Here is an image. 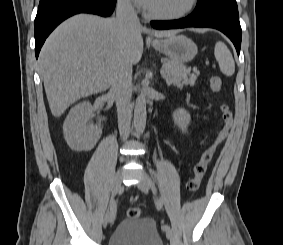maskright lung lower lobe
<instances>
[{
    "mask_svg": "<svg viewBox=\"0 0 283 245\" xmlns=\"http://www.w3.org/2000/svg\"><path fill=\"white\" fill-rule=\"evenodd\" d=\"M115 4L116 0H40L34 24L36 58L48 35L62 21L78 13L110 16Z\"/></svg>",
    "mask_w": 283,
    "mask_h": 245,
    "instance_id": "right-lung-lower-lobe-1",
    "label": "right lung lower lobe"
}]
</instances>
